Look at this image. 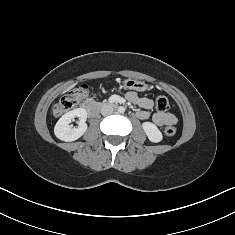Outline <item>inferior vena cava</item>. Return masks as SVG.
<instances>
[{
    "mask_svg": "<svg viewBox=\"0 0 235 235\" xmlns=\"http://www.w3.org/2000/svg\"><path fill=\"white\" fill-rule=\"evenodd\" d=\"M113 113V107L109 104H105L102 108H101V114L103 116H107Z\"/></svg>",
    "mask_w": 235,
    "mask_h": 235,
    "instance_id": "obj_1",
    "label": "inferior vena cava"
}]
</instances>
